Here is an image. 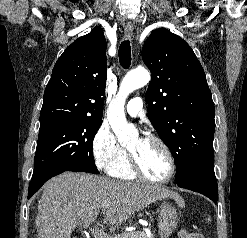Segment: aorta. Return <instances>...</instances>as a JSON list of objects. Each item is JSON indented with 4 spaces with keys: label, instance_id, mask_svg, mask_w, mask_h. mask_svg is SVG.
I'll use <instances>...</instances> for the list:
<instances>
[{
    "label": "aorta",
    "instance_id": "obj_1",
    "mask_svg": "<svg viewBox=\"0 0 247 238\" xmlns=\"http://www.w3.org/2000/svg\"><path fill=\"white\" fill-rule=\"evenodd\" d=\"M149 81L150 74L144 69L129 72L122 80L116 98L109 105L108 121L121 145H126L137 137L136 129L126 121L125 100L131 92L145 86Z\"/></svg>",
    "mask_w": 247,
    "mask_h": 238
}]
</instances>
